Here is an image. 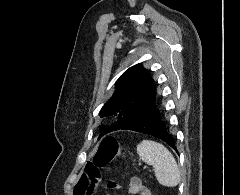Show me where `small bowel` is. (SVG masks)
<instances>
[{"mask_svg": "<svg viewBox=\"0 0 240 195\" xmlns=\"http://www.w3.org/2000/svg\"><path fill=\"white\" fill-rule=\"evenodd\" d=\"M120 186H115V190H119ZM128 192L131 195H152L151 191L142 184L138 177H131L128 185Z\"/></svg>", "mask_w": 240, "mask_h": 195, "instance_id": "c3829d8e", "label": "small bowel"}]
</instances>
